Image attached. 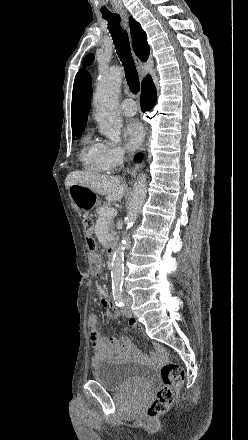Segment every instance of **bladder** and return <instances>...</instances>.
I'll return each mask as SVG.
<instances>
[{"label": "bladder", "mask_w": 248, "mask_h": 440, "mask_svg": "<svg viewBox=\"0 0 248 440\" xmlns=\"http://www.w3.org/2000/svg\"><path fill=\"white\" fill-rule=\"evenodd\" d=\"M154 370L139 361L118 359L100 364L93 370V378L109 391H146L154 380Z\"/></svg>", "instance_id": "1"}]
</instances>
